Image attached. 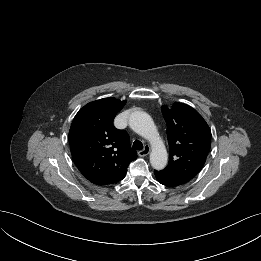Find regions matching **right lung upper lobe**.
<instances>
[{"label":"right lung upper lobe","instance_id":"obj_1","mask_svg":"<svg viewBox=\"0 0 261 261\" xmlns=\"http://www.w3.org/2000/svg\"><path fill=\"white\" fill-rule=\"evenodd\" d=\"M125 103L112 97L90 102L78 111L71 124L73 161L82 175L96 185L122 180L129 163L137 158L128 133L113 125Z\"/></svg>","mask_w":261,"mask_h":261}]
</instances>
